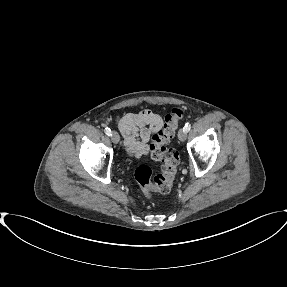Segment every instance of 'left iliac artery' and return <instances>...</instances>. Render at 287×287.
Masks as SVG:
<instances>
[{"instance_id":"obj_1","label":"left iliac artery","mask_w":287,"mask_h":287,"mask_svg":"<svg viewBox=\"0 0 287 287\" xmlns=\"http://www.w3.org/2000/svg\"><path fill=\"white\" fill-rule=\"evenodd\" d=\"M190 128H191L190 123H186L183 129H184L186 132H188V131L190 130Z\"/></svg>"}]
</instances>
